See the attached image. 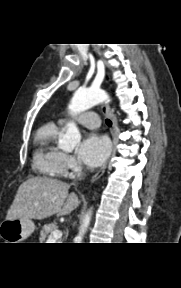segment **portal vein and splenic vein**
<instances>
[{"label": "portal vein and splenic vein", "mask_w": 181, "mask_h": 288, "mask_svg": "<svg viewBox=\"0 0 181 288\" xmlns=\"http://www.w3.org/2000/svg\"><path fill=\"white\" fill-rule=\"evenodd\" d=\"M61 237H62V232L59 230H55L50 234L48 241H56L60 239Z\"/></svg>", "instance_id": "18ae733b"}]
</instances>
